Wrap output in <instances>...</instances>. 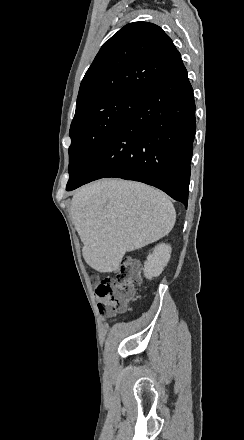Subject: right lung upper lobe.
<instances>
[{
    "instance_id": "cb5924a9",
    "label": "right lung upper lobe",
    "mask_w": 244,
    "mask_h": 440,
    "mask_svg": "<svg viewBox=\"0 0 244 440\" xmlns=\"http://www.w3.org/2000/svg\"><path fill=\"white\" fill-rule=\"evenodd\" d=\"M181 66L180 53L159 26L129 23L101 47L81 82L76 106L117 95L142 97Z\"/></svg>"
}]
</instances>
